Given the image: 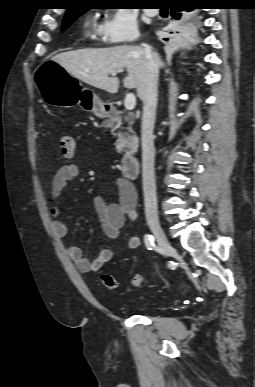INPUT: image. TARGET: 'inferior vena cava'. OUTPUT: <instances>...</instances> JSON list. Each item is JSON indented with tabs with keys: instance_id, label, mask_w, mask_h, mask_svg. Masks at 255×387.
Listing matches in <instances>:
<instances>
[{
	"instance_id": "602c4592",
	"label": "inferior vena cava",
	"mask_w": 255,
	"mask_h": 387,
	"mask_svg": "<svg viewBox=\"0 0 255 387\" xmlns=\"http://www.w3.org/2000/svg\"><path fill=\"white\" fill-rule=\"evenodd\" d=\"M145 52V79L138 95L143 102L142 116V160L143 192L147 222H158L153 144V129L157 107L158 67L148 45H142Z\"/></svg>"
}]
</instances>
